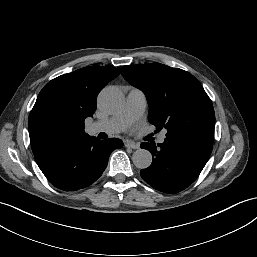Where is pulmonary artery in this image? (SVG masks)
I'll return each mask as SVG.
<instances>
[{"label": "pulmonary artery", "instance_id": "pulmonary-artery-1", "mask_svg": "<svg viewBox=\"0 0 257 257\" xmlns=\"http://www.w3.org/2000/svg\"><path fill=\"white\" fill-rule=\"evenodd\" d=\"M147 99L143 91L132 88L127 95L124 107L120 112L107 120L94 122L89 131L92 134L106 132L117 134L127 129L131 124L137 121L145 112ZM166 133L163 132L157 139L162 144L165 141Z\"/></svg>", "mask_w": 257, "mask_h": 257}]
</instances>
